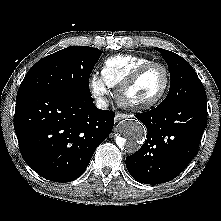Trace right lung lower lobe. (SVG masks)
<instances>
[{"instance_id":"right-lung-lower-lobe-1","label":"right lung lower lobe","mask_w":221,"mask_h":221,"mask_svg":"<svg viewBox=\"0 0 221 221\" xmlns=\"http://www.w3.org/2000/svg\"><path fill=\"white\" fill-rule=\"evenodd\" d=\"M114 125L112 111L93 99L39 89H19L14 128L24 160L43 178L75 180Z\"/></svg>"}]
</instances>
